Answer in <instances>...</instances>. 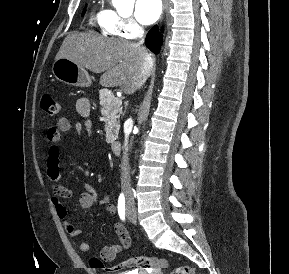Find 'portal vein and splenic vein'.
Returning <instances> with one entry per match:
<instances>
[{
    "mask_svg": "<svg viewBox=\"0 0 289 274\" xmlns=\"http://www.w3.org/2000/svg\"><path fill=\"white\" fill-rule=\"evenodd\" d=\"M117 102L121 103V99H118V98H117Z\"/></svg>",
    "mask_w": 289,
    "mask_h": 274,
    "instance_id": "portal-vein-and-splenic-vein-1",
    "label": "portal vein and splenic vein"
}]
</instances>
